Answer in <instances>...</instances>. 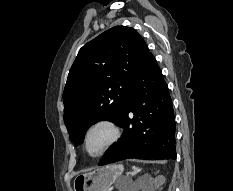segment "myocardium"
Returning a JSON list of instances; mask_svg holds the SVG:
<instances>
[{"mask_svg":"<svg viewBox=\"0 0 233 191\" xmlns=\"http://www.w3.org/2000/svg\"><path fill=\"white\" fill-rule=\"evenodd\" d=\"M99 128H104L108 131V138L97 152H91L88 148L89 137L93 131ZM120 134V126L115 121L107 118L95 120L88 125L84 132L82 141L83 150L90 157H100L104 155L118 141Z\"/></svg>","mask_w":233,"mask_h":191,"instance_id":"1","label":"myocardium"}]
</instances>
